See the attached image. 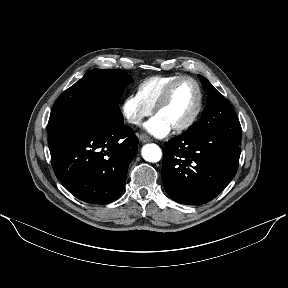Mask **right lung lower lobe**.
Listing matches in <instances>:
<instances>
[{"label":"right lung lower lobe","mask_w":288,"mask_h":288,"mask_svg":"<svg viewBox=\"0 0 288 288\" xmlns=\"http://www.w3.org/2000/svg\"><path fill=\"white\" fill-rule=\"evenodd\" d=\"M123 123L113 122L90 103L48 122L54 173L76 198L106 204L122 194L138 148V138Z\"/></svg>","instance_id":"right-lung-lower-lobe-1"}]
</instances>
